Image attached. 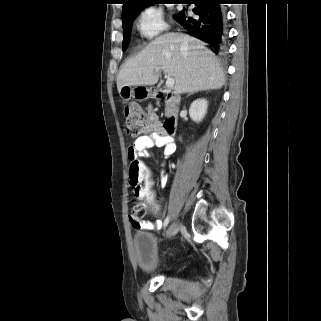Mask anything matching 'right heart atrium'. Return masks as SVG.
Segmentation results:
<instances>
[{
    "instance_id": "right-heart-atrium-1",
    "label": "right heart atrium",
    "mask_w": 321,
    "mask_h": 321,
    "mask_svg": "<svg viewBox=\"0 0 321 321\" xmlns=\"http://www.w3.org/2000/svg\"><path fill=\"white\" fill-rule=\"evenodd\" d=\"M137 27L146 38H154L167 28L163 12L156 6H147L142 9L137 18Z\"/></svg>"
}]
</instances>
